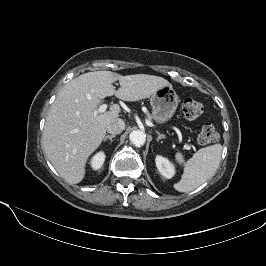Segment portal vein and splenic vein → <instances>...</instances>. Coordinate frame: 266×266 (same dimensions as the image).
<instances>
[{
	"mask_svg": "<svg viewBox=\"0 0 266 266\" xmlns=\"http://www.w3.org/2000/svg\"><path fill=\"white\" fill-rule=\"evenodd\" d=\"M107 108H108L107 104H102L98 107L96 113H104L106 112ZM190 148H191L190 145L187 144L185 145V149L190 150Z\"/></svg>",
	"mask_w": 266,
	"mask_h": 266,
	"instance_id": "obj_1",
	"label": "portal vein and splenic vein"
}]
</instances>
